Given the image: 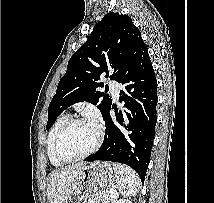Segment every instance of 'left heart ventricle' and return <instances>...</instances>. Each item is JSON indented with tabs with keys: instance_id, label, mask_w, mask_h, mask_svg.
Listing matches in <instances>:
<instances>
[{
	"instance_id": "left-heart-ventricle-1",
	"label": "left heart ventricle",
	"mask_w": 214,
	"mask_h": 203,
	"mask_svg": "<svg viewBox=\"0 0 214 203\" xmlns=\"http://www.w3.org/2000/svg\"><path fill=\"white\" fill-rule=\"evenodd\" d=\"M97 139V127L91 120L70 127L64 134L60 150L64 157L74 158L87 152Z\"/></svg>"
}]
</instances>
